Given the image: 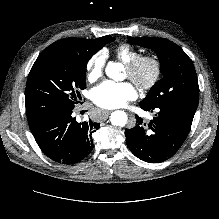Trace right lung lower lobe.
Returning <instances> with one entry per match:
<instances>
[{
  "mask_svg": "<svg viewBox=\"0 0 219 219\" xmlns=\"http://www.w3.org/2000/svg\"><path fill=\"white\" fill-rule=\"evenodd\" d=\"M72 110L47 114L28 122L42 152L63 164L84 159L93 149L91 135L100 127L99 123L91 120L77 122Z\"/></svg>",
  "mask_w": 219,
  "mask_h": 219,
  "instance_id": "obj_1",
  "label": "right lung lower lobe"
}]
</instances>
